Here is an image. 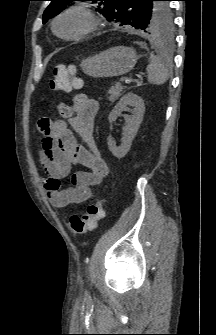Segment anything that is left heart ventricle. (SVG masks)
<instances>
[{"label":"left heart ventricle","instance_id":"b2bd125f","mask_svg":"<svg viewBox=\"0 0 216 335\" xmlns=\"http://www.w3.org/2000/svg\"><path fill=\"white\" fill-rule=\"evenodd\" d=\"M85 26L86 21L83 16L69 13L59 20L57 30L63 36H72L83 30Z\"/></svg>","mask_w":216,"mask_h":335}]
</instances>
